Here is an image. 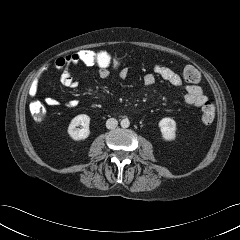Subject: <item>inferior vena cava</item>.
Here are the masks:
<instances>
[{
	"label": "inferior vena cava",
	"mask_w": 240,
	"mask_h": 240,
	"mask_svg": "<svg viewBox=\"0 0 240 240\" xmlns=\"http://www.w3.org/2000/svg\"><path fill=\"white\" fill-rule=\"evenodd\" d=\"M117 125H118V121L114 118H110L106 121V127L108 129H114L117 127Z\"/></svg>",
	"instance_id": "obj_1"
}]
</instances>
